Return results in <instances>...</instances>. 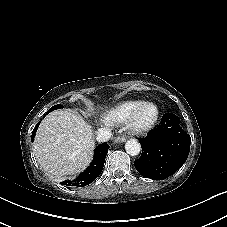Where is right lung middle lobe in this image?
<instances>
[{"instance_id":"right-lung-middle-lobe-1","label":"right lung middle lobe","mask_w":227,"mask_h":227,"mask_svg":"<svg viewBox=\"0 0 227 227\" xmlns=\"http://www.w3.org/2000/svg\"><path fill=\"white\" fill-rule=\"evenodd\" d=\"M59 108H63V106L61 104H57L55 106H52L45 115H47L49 112L53 111V110H56V109H59Z\"/></svg>"}]
</instances>
